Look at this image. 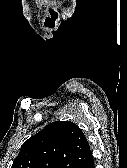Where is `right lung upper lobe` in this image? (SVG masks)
Returning a JSON list of instances; mask_svg holds the SVG:
<instances>
[{"mask_svg":"<svg viewBox=\"0 0 127 168\" xmlns=\"http://www.w3.org/2000/svg\"><path fill=\"white\" fill-rule=\"evenodd\" d=\"M90 158L82 130L73 122L56 121L22 145L11 168H75Z\"/></svg>","mask_w":127,"mask_h":168,"instance_id":"obj_1","label":"right lung upper lobe"}]
</instances>
